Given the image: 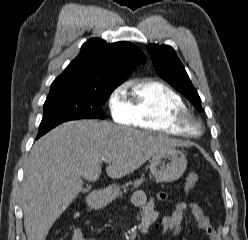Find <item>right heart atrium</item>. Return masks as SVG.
I'll return each instance as SVG.
<instances>
[{"instance_id": "right-heart-atrium-1", "label": "right heart atrium", "mask_w": 248, "mask_h": 240, "mask_svg": "<svg viewBox=\"0 0 248 240\" xmlns=\"http://www.w3.org/2000/svg\"><path fill=\"white\" fill-rule=\"evenodd\" d=\"M107 107L112 119L121 124L132 125V113L126 98V85L116 86L108 95Z\"/></svg>"}]
</instances>
